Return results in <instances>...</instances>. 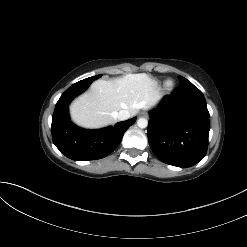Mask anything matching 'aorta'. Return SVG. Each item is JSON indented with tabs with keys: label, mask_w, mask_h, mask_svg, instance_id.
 <instances>
[{
	"label": "aorta",
	"mask_w": 247,
	"mask_h": 247,
	"mask_svg": "<svg viewBox=\"0 0 247 247\" xmlns=\"http://www.w3.org/2000/svg\"><path fill=\"white\" fill-rule=\"evenodd\" d=\"M137 125L139 128H146L148 126V121L146 118H139L137 120Z\"/></svg>",
	"instance_id": "762f6f07"
}]
</instances>
